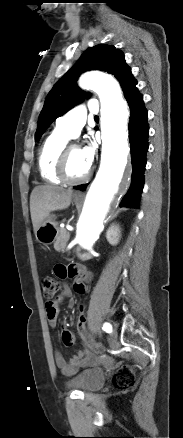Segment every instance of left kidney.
I'll use <instances>...</instances> for the list:
<instances>
[{"label": "left kidney", "instance_id": "5707ae66", "mask_svg": "<svg viewBox=\"0 0 183 438\" xmlns=\"http://www.w3.org/2000/svg\"><path fill=\"white\" fill-rule=\"evenodd\" d=\"M120 228L116 224H112L106 232L107 241L111 245H116L120 239Z\"/></svg>", "mask_w": 183, "mask_h": 438}]
</instances>
